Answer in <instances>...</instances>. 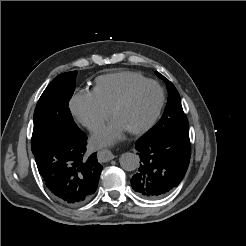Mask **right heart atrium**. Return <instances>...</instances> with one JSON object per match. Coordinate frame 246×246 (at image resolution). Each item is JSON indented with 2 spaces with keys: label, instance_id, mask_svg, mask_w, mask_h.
<instances>
[{
  "label": "right heart atrium",
  "instance_id": "right-heart-atrium-1",
  "mask_svg": "<svg viewBox=\"0 0 246 246\" xmlns=\"http://www.w3.org/2000/svg\"><path fill=\"white\" fill-rule=\"evenodd\" d=\"M69 108L74 119L91 131L98 129L110 115V111L103 108L90 91L76 92Z\"/></svg>",
  "mask_w": 246,
  "mask_h": 246
}]
</instances>
